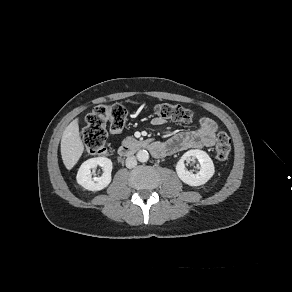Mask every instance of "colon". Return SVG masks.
<instances>
[{
  "mask_svg": "<svg viewBox=\"0 0 292 292\" xmlns=\"http://www.w3.org/2000/svg\"><path fill=\"white\" fill-rule=\"evenodd\" d=\"M157 117L164 120L189 123L194 118V112L181 105L162 103L154 108ZM127 121V111L120 104L96 106L85 118L82 140L86 150L93 155H99L106 150L108 131L120 133ZM231 151V140L224 131L216 135L215 152L219 160H226Z\"/></svg>",
  "mask_w": 292,
  "mask_h": 292,
  "instance_id": "obj_1",
  "label": "colon"
}]
</instances>
